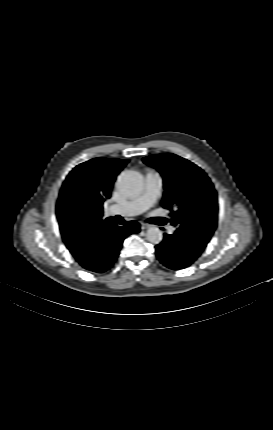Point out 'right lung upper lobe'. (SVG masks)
I'll list each match as a JSON object with an SVG mask.
<instances>
[{"mask_svg":"<svg viewBox=\"0 0 273 430\" xmlns=\"http://www.w3.org/2000/svg\"><path fill=\"white\" fill-rule=\"evenodd\" d=\"M129 160L94 158L76 166L66 177L57 201L56 213L63 240L73 256L87 249L93 228L110 222L103 219V202L110 198L116 176ZM81 200L89 210V217L80 227L65 220L69 205Z\"/></svg>","mask_w":273,"mask_h":430,"instance_id":"right-lung-upper-lobe-1","label":"right lung upper lobe"}]
</instances>
